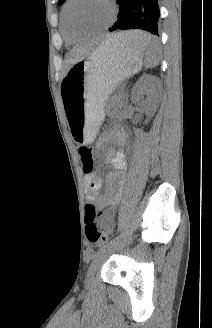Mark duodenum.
<instances>
[{
	"label": "duodenum",
	"instance_id": "410a0bca",
	"mask_svg": "<svg viewBox=\"0 0 212 328\" xmlns=\"http://www.w3.org/2000/svg\"><path fill=\"white\" fill-rule=\"evenodd\" d=\"M116 137L118 138V139H122V134H121V132H116Z\"/></svg>",
	"mask_w": 212,
	"mask_h": 328
}]
</instances>
